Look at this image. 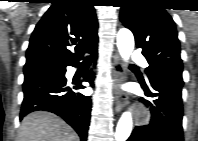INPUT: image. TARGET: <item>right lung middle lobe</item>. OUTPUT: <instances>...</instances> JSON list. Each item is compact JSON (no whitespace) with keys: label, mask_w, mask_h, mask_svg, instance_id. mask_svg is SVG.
<instances>
[{"label":"right lung middle lobe","mask_w":198,"mask_h":141,"mask_svg":"<svg viewBox=\"0 0 198 141\" xmlns=\"http://www.w3.org/2000/svg\"><path fill=\"white\" fill-rule=\"evenodd\" d=\"M42 70H45V69H42ZM42 70H37V71H42ZM37 71H33V72H37ZM33 72H29V73H33ZM29 73H25V75Z\"/></svg>","instance_id":"dd1d6c3e"}]
</instances>
